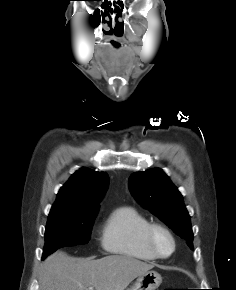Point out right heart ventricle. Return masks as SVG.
<instances>
[{"label": "right heart ventricle", "mask_w": 236, "mask_h": 290, "mask_svg": "<svg viewBox=\"0 0 236 290\" xmlns=\"http://www.w3.org/2000/svg\"><path fill=\"white\" fill-rule=\"evenodd\" d=\"M151 222L132 206H120L107 217L101 233V245L111 254L141 261L157 258L148 249L145 233Z\"/></svg>", "instance_id": "right-heart-ventricle-1"}]
</instances>
